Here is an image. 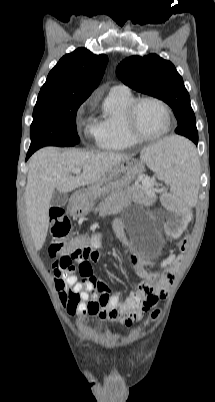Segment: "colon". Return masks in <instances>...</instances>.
I'll use <instances>...</instances> for the list:
<instances>
[{"label": "colon", "instance_id": "1", "mask_svg": "<svg viewBox=\"0 0 215 402\" xmlns=\"http://www.w3.org/2000/svg\"><path fill=\"white\" fill-rule=\"evenodd\" d=\"M51 220V234L52 241L49 245L48 253L51 258L55 260L56 267H60L65 270L75 271L77 269L76 263L83 259V253L80 250L87 248L88 237L86 235H75L68 241H63V238L70 231V220L66 213L59 209H52L50 212ZM193 237L189 232L184 234V239H180L177 244L176 251L178 254H185L187 251L186 244L192 243ZM179 261L172 260L167 265L168 271H173ZM89 269L87 264H81L78 267L79 271L86 272ZM158 312L152 313V317L155 318Z\"/></svg>", "mask_w": 215, "mask_h": 402}]
</instances>
